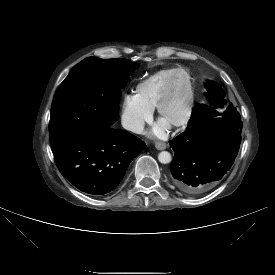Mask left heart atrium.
Here are the masks:
<instances>
[{
    "mask_svg": "<svg viewBox=\"0 0 275 275\" xmlns=\"http://www.w3.org/2000/svg\"><path fill=\"white\" fill-rule=\"evenodd\" d=\"M167 129L168 125L163 121H159L153 126L151 130V135L159 138H164L166 136Z\"/></svg>",
    "mask_w": 275,
    "mask_h": 275,
    "instance_id": "obj_1",
    "label": "left heart atrium"
}]
</instances>
